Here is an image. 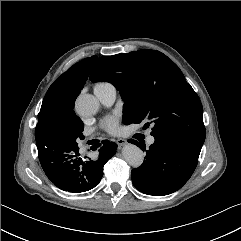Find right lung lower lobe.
<instances>
[{
  "mask_svg": "<svg viewBox=\"0 0 241 241\" xmlns=\"http://www.w3.org/2000/svg\"><path fill=\"white\" fill-rule=\"evenodd\" d=\"M37 148L46 176L61 190L80 193L98 185L103 176L104 164L115 155L117 145L108 140L103 141L99 157L89 161L80 157L79 147L37 144Z\"/></svg>",
  "mask_w": 241,
  "mask_h": 241,
  "instance_id": "98d812e1",
  "label": "right lung lower lobe"
}]
</instances>
